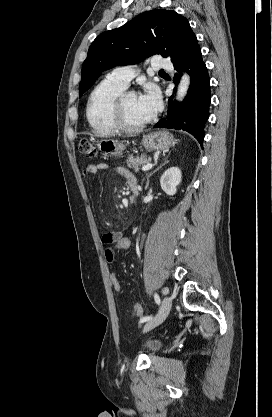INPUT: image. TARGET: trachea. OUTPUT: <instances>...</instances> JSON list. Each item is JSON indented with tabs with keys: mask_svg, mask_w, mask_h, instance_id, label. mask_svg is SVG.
<instances>
[{
	"mask_svg": "<svg viewBox=\"0 0 272 417\" xmlns=\"http://www.w3.org/2000/svg\"><path fill=\"white\" fill-rule=\"evenodd\" d=\"M159 73H165L163 70H160V72Z\"/></svg>",
	"mask_w": 272,
	"mask_h": 417,
	"instance_id": "trachea-1",
	"label": "trachea"
}]
</instances>
